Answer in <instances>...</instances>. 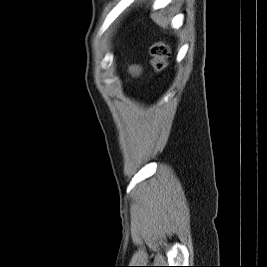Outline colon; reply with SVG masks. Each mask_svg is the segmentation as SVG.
<instances>
[{
  "label": "colon",
  "mask_w": 267,
  "mask_h": 267,
  "mask_svg": "<svg viewBox=\"0 0 267 267\" xmlns=\"http://www.w3.org/2000/svg\"><path fill=\"white\" fill-rule=\"evenodd\" d=\"M149 52L154 70L158 73L165 70L170 57V47L163 41H156L151 45Z\"/></svg>",
  "instance_id": "5ec220e1"
}]
</instances>
